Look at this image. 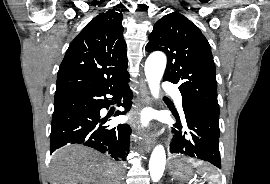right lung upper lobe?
<instances>
[{
  "instance_id": "cb5924a9",
  "label": "right lung upper lobe",
  "mask_w": 270,
  "mask_h": 184,
  "mask_svg": "<svg viewBox=\"0 0 270 184\" xmlns=\"http://www.w3.org/2000/svg\"><path fill=\"white\" fill-rule=\"evenodd\" d=\"M123 15L100 13L71 42L57 74L55 95L104 87L129 77Z\"/></svg>"
}]
</instances>
